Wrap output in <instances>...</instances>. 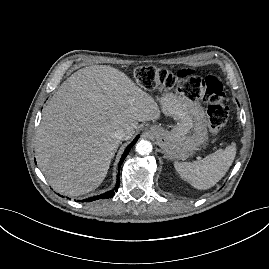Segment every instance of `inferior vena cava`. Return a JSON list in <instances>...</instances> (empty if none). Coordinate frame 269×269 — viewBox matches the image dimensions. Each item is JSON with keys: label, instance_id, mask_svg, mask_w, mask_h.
<instances>
[{"label": "inferior vena cava", "instance_id": "602c4592", "mask_svg": "<svg viewBox=\"0 0 269 269\" xmlns=\"http://www.w3.org/2000/svg\"><path fill=\"white\" fill-rule=\"evenodd\" d=\"M114 136L116 139L121 141L126 137V130L124 128H119L115 131Z\"/></svg>", "mask_w": 269, "mask_h": 269}]
</instances>
